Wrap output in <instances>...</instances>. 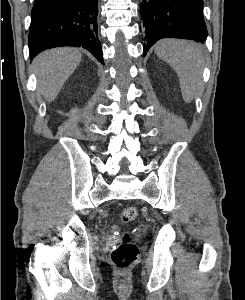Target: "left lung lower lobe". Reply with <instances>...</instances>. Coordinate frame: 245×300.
<instances>
[{
	"instance_id": "obj_1",
	"label": "left lung lower lobe",
	"mask_w": 245,
	"mask_h": 300,
	"mask_svg": "<svg viewBox=\"0 0 245 300\" xmlns=\"http://www.w3.org/2000/svg\"><path fill=\"white\" fill-rule=\"evenodd\" d=\"M140 12L147 40L143 45L144 56L161 38L197 42H204L207 38L202 0H143Z\"/></svg>"
}]
</instances>
